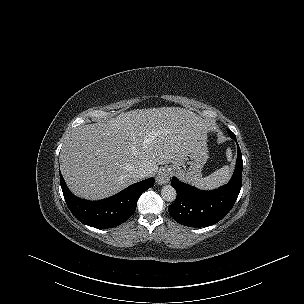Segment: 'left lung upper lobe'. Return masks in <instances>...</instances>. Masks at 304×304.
I'll return each mask as SVG.
<instances>
[{"label": "left lung upper lobe", "instance_id": "1", "mask_svg": "<svg viewBox=\"0 0 304 304\" xmlns=\"http://www.w3.org/2000/svg\"><path fill=\"white\" fill-rule=\"evenodd\" d=\"M228 133H229V135H230L231 138H235L236 137L235 134L231 130H228Z\"/></svg>", "mask_w": 304, "mask_h": 304}]
</instances>
